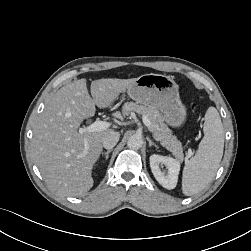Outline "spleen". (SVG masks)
I'll return each mask as SVG.
<instances>
[{
    "label": "spleen",
    "instance_id": "1",
    "mask_svg": "<svg viewBox=\"0 0 251 251\" xmlns=\"http://www.w3.org/2000/svg\"><path fill=\"white\" fill-rule=\"evenodd\" d=\"M204 118V137L183 169L182 192L186 196L201 192L209 184L223 156L224 130L217 109L209 107Z\"/></svg>",
    "mask_w": 251,
    "mask_h": 251
}]
</instances>
